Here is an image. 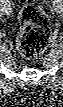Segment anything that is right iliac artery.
<instances>
[{"instance_id":"right-iliac-artery-1","label":"right iliac artery","mask_w":63,"mask_h":107,"mask_svg":"<svg viewBox=\"0 0 63 107\" xmlns=\"http://www.w3.org/2000/svg\"><path fill=\"white\" fill-rule=\"evenodd\" d=\"M1 4H6L8 5V11L11 12L10 4H8L7 0H1Z\"/></svg>"}]
</instances>
